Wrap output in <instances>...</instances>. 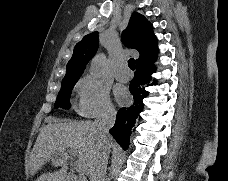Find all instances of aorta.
I'll return each mask as SVG.
<instances>
[{
    "instance_id": "obj_1",
    "label": "aorta",
    "mask_w": 228,
    "mask_h": 181,
    "mask_svg": "<svg viewBox=\"0 0 228 181\" xmlns=\"http://www.w3.org/2000/svg\"><path fill=\"white\" fill-rule=\"evenodd\" d=\"M105 67L106 56L104 54H98L91 61L90 73L95 77H100L103 74Z\"/></svg>"
}]
</instances>
